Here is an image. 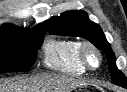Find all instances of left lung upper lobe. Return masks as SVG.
Returning <instances> with one entry per match:
<instances>
[{
	"label": "left lung upper lobe",
	"mask_w": 127,
	"mask_h": 92,
	"mask_svg": "<svg viewBox=\"0 0 127 92\" xmlns=\"http://www.w3.org/2000/svg\"><path fill=\"white\" fill-rule=\"evenodd\" d=\"M50 34L63 36H79L89 40L98 49L106 54L111 71L112 83L127 88V79L117 69L115 55L107 42L100 26L89 20L86 12L81 10L69 11L50 20Z\"/></svg>",
	"instance_id": "left-lung-upper-lobe-1"
}]
</instances>
